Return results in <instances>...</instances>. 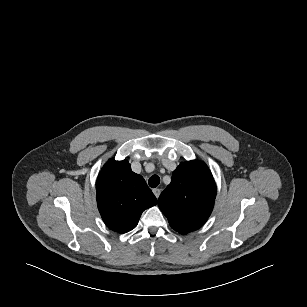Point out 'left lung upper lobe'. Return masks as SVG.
<instances>
[{
	"label": "left lung upper lobe",
	"instance_id": "left-lung-upper-lobe-1",
	"mask_svg": "<svg viewBox=\"0 0 307 307\" xmlns=\"http://www.w3.org/2000/svg\"><path fill=\"white\" fill-rule=\"evenodd\" d=\"M215 196L216 184L207 165L187 161L173 172L158 206L170 226L184 235L204 225L213 210Z\"/></svg>",
	"mask_w": 307,
	"mask_h": 307
}]
</instances>
